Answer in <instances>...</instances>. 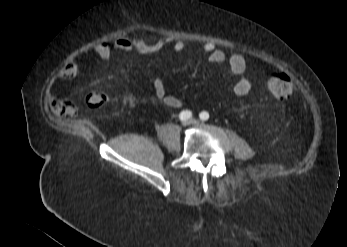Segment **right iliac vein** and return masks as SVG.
I'll list each match as a JSON object with an SVG mask.
<instances>
[{"label": "right iliac vein", "instance_id": "1", "mask_svg": "<svg viewBox=\"0 0 347 247\" xmlns=\"http://www.w3.org/2000/svg\"><path fill=\"white\" fill-rule=\"evenodd\" d=\"M190 124H191L190 121H184V122L182 123V125H183L184 127L189 126Z\"/></svg>", "mask_w": 347, "mask_h": 247}]
</instances>
